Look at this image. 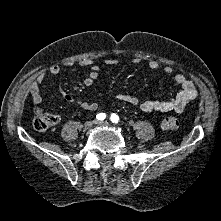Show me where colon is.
I'll return each instance as SVG.
<instances>
[{
	"mask_svg": "<svg viewBox=\"0 0 221 221\" xmlns=\"http://www.w3.org/2000/svg\"><path fill=\"white\" fill-rule=\"evenodd\" d=\"M58 122L54 114L39 113L33 121V126L37 131H45ZM165 130H175L178 127V120L174 117H166L162 122Z\"/></svg>",
	"mask_w": 221,
	"mask_h": 221,
	"instance_id": "obj_1",
	"label": "colon"
}]
</instances>
